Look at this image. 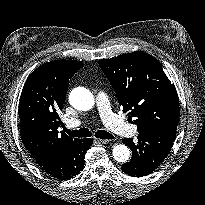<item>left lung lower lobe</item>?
Segmentation results:
<instances>
[{"label":"left lung lower lobe","mask_w":205,"mask_h":205,"mask_svg":"<svg viewBox=\"0 0 205 205\" xmlns=\"http://www.w3.org/2000/svg\"><path fill=\"white\" fill-rule=\"evenodd\" d=\"M175 136L176 129H161L139 133L137 143L132 138L123 139L132 150V157L121 166L122 171L132 177L151 174L170 152Z\"/></svg>","instance_id":"left-lung-lower-lobe-1"}]
</instances>
